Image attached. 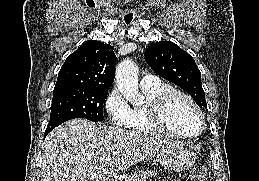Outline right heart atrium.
Listing matches in <instances>:
<instances>
[{
  "label": "right heart atrium",
  "mask_w": 259,
  "mask_h": 181,
  "mask_svg": "<svg viewBox=\"0 0 259 181\" xmlns=\"http://www.w3.org/2000/svg\"><path fill=\"white\" fill-rule=\"evenodd\" d=\"M104 109L113 126L127 127L131 108L116 88L112 89L106 96Z\"/></svg>",
  "instance_id": "1"
}]
</instances>
